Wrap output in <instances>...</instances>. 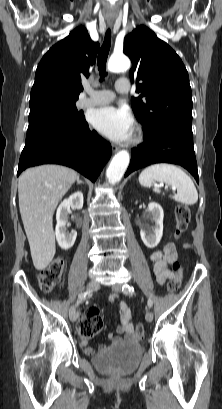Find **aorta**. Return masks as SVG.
Instances as JSON below:
<instances>
[{
	"label": "aorta",
	"instance_id": "1",
	"mask_svg": "<svg viewBox=\"0 0 222 409\" xmlns=\"http://www.w3.org/2000/svg\"><path fill=\"white\" fill-rule=\"evenodd\" d=\"M130 68V61L124 55H113L109 59L108 69L111 72L126 71ZM130 162L129 153L125 150L119 151L112 159L106 170V178L110 184L118 183L123 177Z\"/></svg>",
	"mask_w": 222,
	"mask_h": 409
}]
</instances>
